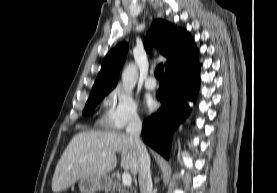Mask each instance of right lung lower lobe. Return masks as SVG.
<instances>
[{
    "label": "right lung lower lobe",
    "instance_id": "obj_1",
    "mask_svg": "<svg viewBox=\"0 0 277 193\" xmlns=\"http://www.w3.org/2000/svg\"><path fill=\"white\" fill-rule=\"evenodd\" d=\"M197 49L165 71L164 81L157 91L161 108L143 123V141L169 158L172 127L189 113L187 100L198 92L200 64Z\"/></svg>",
    "mask_w": 277,
    "mask_h": 193
}]
</instances>
